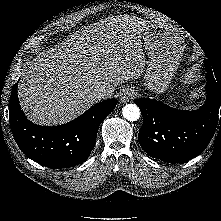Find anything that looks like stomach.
I'll return each instance as SVG.
<instances>
[{"label":"stomach","mask_w":221,"mask_h":221,"mask_svg":"<svg viewBox=\"0 0 221 221\" xmlns=\"http://www.w3.org/2000/svg\"><path fill=\"white\" fill-rule=\"evenodd\" d=\"M148 55L143 85L160 94L166 91L178 68L185 49L184 41L170 27L147 22L141 31Z\"/></svg>","instance_id":"1"}]
</instances>
